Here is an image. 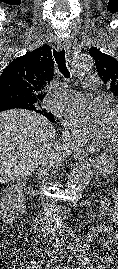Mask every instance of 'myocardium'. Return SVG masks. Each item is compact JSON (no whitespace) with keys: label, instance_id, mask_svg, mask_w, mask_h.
I'll return each instance as SVG.
<instances>
[{"label":"myocardium","instance_id":"obj_1","mask_svg":"<svg viewBox=\"0 0 118 269\" xmlns=\"http://www.w3.org/2000/svg\"><path fill=\"white\" fill-rule=\"evenodd\" d=\"M111 111H112V112H118V104L115 105V106H113ZM106 145H107L108 147H110V148H112V149L118 151V143L107 142ZM98 146H100V145H98Z\"/></svg>","mask_w":118,"mask_h":269}]
</instances>
